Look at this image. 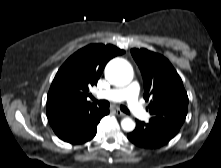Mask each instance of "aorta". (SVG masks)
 <instances>
[{"instance_id":"1","label":"aorta","mask_w":221,"mask_h":168,"mask_svg":"<svg viewBox=\"0 0 221 168\" xmlns=\"http://www.w3.org/2000/svg\"><path fill=\"white\" fill-rule=\"evenodd\" d=\"M105 77L116 86H125L133 79V68L125 59L114 58L105 68ZM121 127L124 131L131 132L135 129V122L129 117L123 118Z\"/></svg>"}]
</instances>
